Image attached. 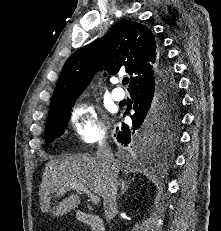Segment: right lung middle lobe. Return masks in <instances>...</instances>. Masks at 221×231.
Returning a JSON list of instances; mask_svg holds the SVG:
<instances>
[{"instance_id":"right-lung-middle-lobe-1","label":"right lung middle lobe","mask_w":221,"mask_h":231,"mask_svg":"<svg viewBox=\"0 0 221 231\" xmlns=\"http://www.w3.org/2000/svg\"><path fill=\"white\" fill-rule=\"evenodd\" d=\"M75 99L66 101L57 110L49 114L45 130L46 141L52 142L63 134ZM179 108L180 99L168 96L159 97L141 129L148 141L165 145L174 137L180 116Z\"/></svg>"}]
</instances>
